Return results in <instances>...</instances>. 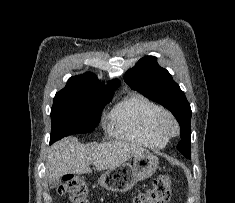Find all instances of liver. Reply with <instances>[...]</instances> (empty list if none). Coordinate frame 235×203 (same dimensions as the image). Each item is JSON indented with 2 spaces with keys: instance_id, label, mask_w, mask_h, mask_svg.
Returning <instances> with one entry per match:
<instances>
[{
  "instance_id": "obj_1",
  "label": "liver",
  "mask_w": 235,
  "mask_h": 203,
  "mask_svg": "<svg viewBox=\"0 0 235 203\" xmlns=\"http://www.w3.org/2000/svg\"><path fill=\"white\" fill-rule=\"evenodd\" d=\"M144 152L143 147L124 141L81 144L77 138L68 137L51 146L46 172L51 182L66 174L90 173L91 164L98 171L113 169Z\"/></svg>"
}]
</instances>
